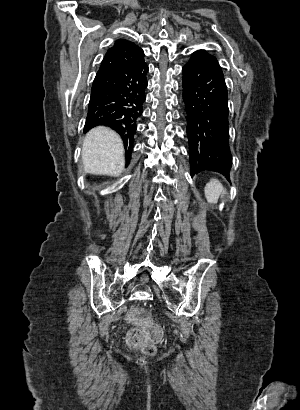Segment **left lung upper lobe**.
<instances>
[{"instance_id": "1", "label": "left lung upper lobe", "mask_w": 300, "mask_h": 410, "mask_svg": "<svg viewBox=\"0 0 300 410\" xmlns=\"http://www.w3.org/2000/svg\"><path fill=\"white\" fill-rule=\"evenodd\" d=\"M194 53L203 55V56H205V57L215 58L214 56L208 54V53H207L206 51H204V50H198V51H196V52H194ZM215 59H216V58H215Z\"/></svg>"}]
</instances>
